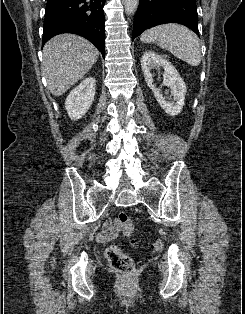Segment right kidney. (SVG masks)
<instances>
[{
  "label": "right kidney",
  "instance_id": "obj_1",
  "mask_svg": "<svg viewBox=\"0 0 245 314\" xmlns=\"http://www.w3.org/2000/svg\"><path fill=\"white\" fill-rule=\"evenodd\" d=\"M96 80L88 77L74 88L65 100V108L72 120L81 119L91 107L95 97Z\"/></svg>",
  "mask_w": 245,
  "mask_h": 314
}]
</instances>
